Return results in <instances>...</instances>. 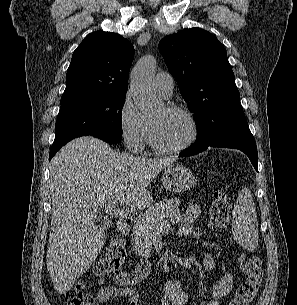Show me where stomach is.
<instances>
[{
  "label": "stomach",
  "mask_w": 297,
  "mask_h": 305,
  "mask_svg": "<svg viewBox=\"0 0 297 305\" xmlns=\"http://www.w3.org/2000/svg\"><path fill=\"white\" fill-rule=\"evenodd\" d=\"M161 180L167 191L175 193L187 191L196 184L194 174L189 168L181 164L166 168Z\"/></svg>",
  "instance_id": "0dacf381"
}]
</instances>
